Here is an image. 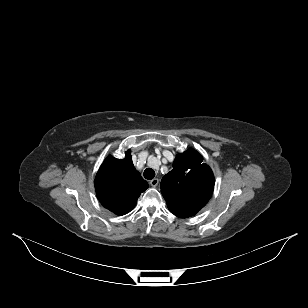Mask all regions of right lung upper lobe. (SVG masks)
I'll return each instance as SVG.
<instances>
[{
  "label": "right lung upper lobe",
  "instance_id": "obj_1",
  "mask_svg": "<svg viewBox=\"0 0 308 308\" xmlns=\"http://www.w3.org/2000/svg\"><path fill=\"white\" fill-rule=\"evenodd\" d=\"M148 183L134 168L130 151L123 159L108 156L95 178L97 197L103 207L116 215L131 211Z\"/></svg>",
  "mask_w": 308,
  "mask_h": 308
}]
</instances>
